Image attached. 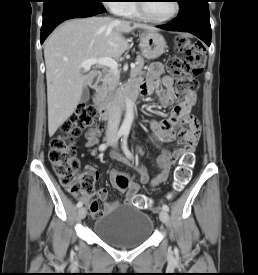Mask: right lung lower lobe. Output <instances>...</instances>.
<instances>
[{"label": "right lung lower lobe", "instance_id": "98d812e1", "mask_svg": "<svg viewBox=\"0 0 258 275\" xmlns=\"http://www.w3.org/2000/svg\"><path fill=\"white\" fill-rule=\"evenodd\" d=\"M102 2L95 0H45L43 7V23L41 28V44L48 35L65 20L84 18L103 13Z\"/></svg>", "mask_w": 258, "mask_h": 275}]
</instances>
